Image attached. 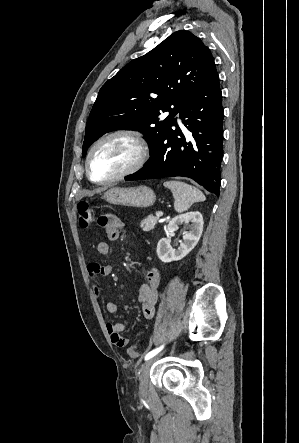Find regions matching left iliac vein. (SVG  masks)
<instances>
[{"mask_svg":"<svg viewBox=\"0 0 299 443\" xmlns=\"http://www.w3.org/2000/svg\"><path fill=\"white\" fill-rule=\"evenodd\" d=\"M154 361L155 358H151L147 360L141 367L140 376H139L140 380L139 392L141 395L147 394L150 369Z\"/></svg>","mask_w":299,"mask_h":443,"instance_id":"obj_1","label":"left iliac vein"}]
</instances>
